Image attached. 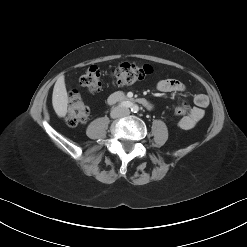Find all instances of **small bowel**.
I'll list each match as a JSON object with an SVG mask.
<instances>
[{"label":"small bowel","instance_id":"obj_1","mask_svg":"<svg viewBox=\"0 0 247 247\" xmlns=\"http://www.w3.org/2000/svg\"><path fill=\"white\" fill-rule=\"evenodd\" d=\"M157 89L163 93L183 92L185 85L176 79H165L158 82ZM208 104L207 95L202 93L195 95L194 106L189 110L188 114L179 119L178 126L184 130L192 129L204 117V109Z\"/></svg>","mask_w":247,"mask_h":247}]
</instances>
